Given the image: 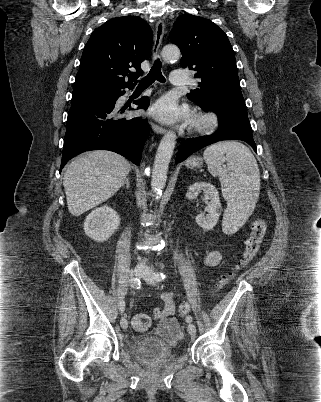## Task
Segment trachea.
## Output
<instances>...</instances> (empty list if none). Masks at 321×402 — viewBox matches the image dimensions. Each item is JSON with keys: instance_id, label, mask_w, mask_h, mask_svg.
<instances>
[{"instance_id": "3493384b", "label": "trachea", "mask_w": 321, "mask_h": 402, "mask_svg": "<svg viewBox=\"0 0 321 402\" xmlns=\"http://www.w3.org/2000/svg\"><path fill=\"white\" fill-rule=\"evenodd\" d=\"M156 80L159 82L166 81L161 72V62L159 59L155 60L149 74L139 82L137 88L138 89H146Z\"/></svg>"}]
</instances>
